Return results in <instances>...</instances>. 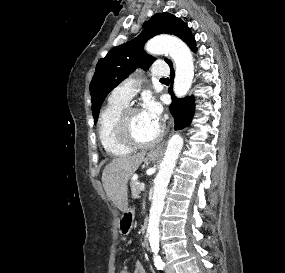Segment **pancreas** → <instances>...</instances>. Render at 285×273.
<instances>
[{"mask_svg":"<svg viewBox=\"0 0 285 273\" xmlns=\"http://www.w3.org/2000/svg\"><path fill=\"white\" fill-rule=\"evenodd\" d=\"M140 182L138 180H132L130 183L131 186V192H132V197L135 199L139 198V194L141 193V190L139 188Z\"/></svg>","mask_w":285,"mask_h":273,"instance_id":"1","label":"pancreas"}]
</instances>
